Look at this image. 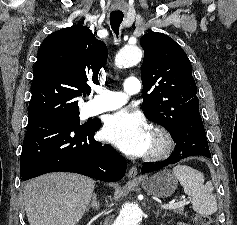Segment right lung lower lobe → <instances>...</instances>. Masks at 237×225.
Here are the masks:
<instances>
[{"label":"right lung lower lobe","mask_w":237,"mask_h":225,"mask_svg":"<svg viewBox=\"0 0 237 225\" xmlns=\"http://www.w3.org/2000/svg\"><path fill=\"white\" fill-rule=\"evenodd\" d=\"M100 126V121L80 126L57 119L29 121L20 159L21 179L65 171L102 181L120 180L126 160L112 146L94 140Z\"/></svg>","instance_id":"1"}]
</instances>
